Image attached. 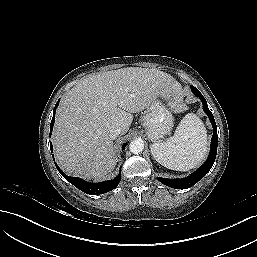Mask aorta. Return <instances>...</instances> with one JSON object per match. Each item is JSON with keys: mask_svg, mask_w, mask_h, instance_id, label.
Masks as SVG:
<instances>
[{"mask_svg": "<svg viewBox=\"0 0 257 257\" xmlns=\"http://www.w3.org/2000/svg\"><path fill=\"white\" fill-rule=\"evenodd\" d=\"M129 149L132 153L138 154L143 151L144 142L141 139H135L130 143Z\"/></svg>", "mask_w": 257, "mask_h": 257, "instance_id": "obj_1", "label": "aorta"}]
</instances>
